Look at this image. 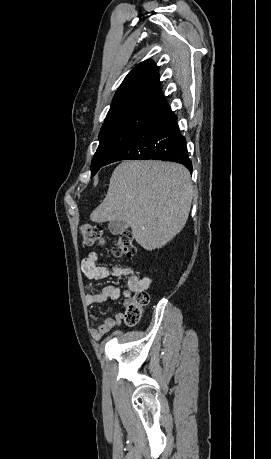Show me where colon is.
Masks as SVG:
<instances>
[{
    "label": "colon",
    "mask_w": 271,
    "mask_h": 459,
    "mask_svg": "<svg viewBox=\"0 0 271 459\" xmlns=\"http://www.w3.org/2000/svg\"><path fill=\"white\" fill-rule=\"evenodd\" d=\"M83 245L92 247L104 243L103 229L100 226L92 224H82L79 228ZM113 254L118 257L131 258L135 254L133 235L126 230L117 237ZM125 302V322L128 325H135L141 318L142 309L149 301L148 294L144 291L135 292L133 295L127 294Z\"/></svg>",
    "instance_id": "5ec220e1"
}]
</instances>
